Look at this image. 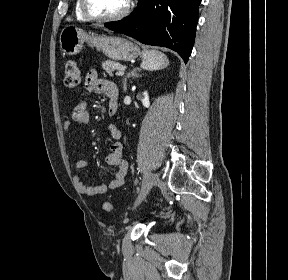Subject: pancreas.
<instances>
[{
  "instance_id": "1",
  "label": "pancreas",
  "mask_w": 288,
  "mask_h": 280,
  "mask_svg": "<svg viewBox=\"0 0 288 280\" xmlns=\"http://www.w3.org/2000/svg\"><path fill=\"white\" fill-rule=\"evenodd\" d=\"M102 68L110 75L113 76V71L122 68V65L118 62L106 60L102 63Z\"/></svg>"
}]
</instances>
